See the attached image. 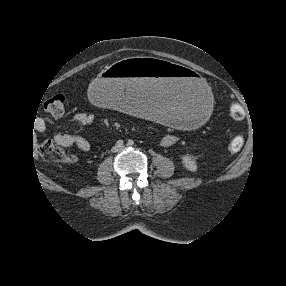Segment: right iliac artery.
I'll return each instance as SVG.
<instances>
[{"mask_svg":"<svg viewBox=\"0 0 286 286\" xmlns=\"http://www.w3.org/2000/svg\"><path fill=\"white\" fill-rule=\"evenodd\" d=\"M117 147H122L124 145V141L123 140H118L116 142Z\"/></svg>","mask_w":286,"mask_h":286,"instance_id":"obj_1","label":"right iliac artery"}]
</instances>
